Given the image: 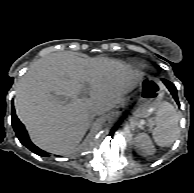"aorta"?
<instances>
[{
	"label": "aorta",
	"instance_id": "762f6f07",
	"mask_svg": "<svg viewBox=\"0 0 194 193\" xmlns=\"http://www.w3.org/2000/svg\"><path fill=\"white\" fill-rule=\"evenodd\" d=\"M108 122L112 126H119L123 122V119L118 113H112L108 117Z\"/></svg>",
	"mask_w": 194,
	"mask_h": 193
}]
</instances>
